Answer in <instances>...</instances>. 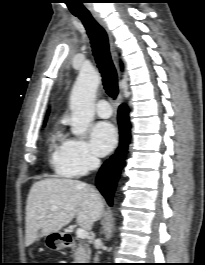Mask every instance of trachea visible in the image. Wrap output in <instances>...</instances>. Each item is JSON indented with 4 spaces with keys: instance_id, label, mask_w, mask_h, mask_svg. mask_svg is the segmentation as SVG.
Masks as SVG:
<instances>
[{
    "instance_id": "1",
    "label": "trachea",
    "mask_w": 205,
    "mask_h": 265,
    "mask_svg": "<svg viewBox=\"0 0 205 265\" xmlns=\"http://www.w3.org/2000/svg\"><path fill=\"white\" fill-rule=\"evenodd\" d=\"M90 38L93 55L102 75L106 93L113 99L118 95L117 73L109 51L108 36L104 28L88 14H78Z\"/></svg>"
}]
</instances>
